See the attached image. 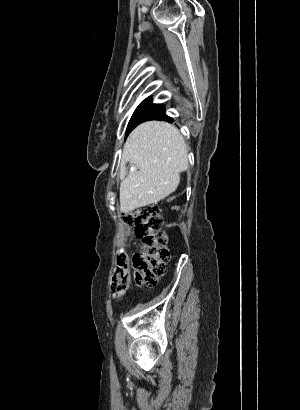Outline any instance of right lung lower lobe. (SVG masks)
I'll list each match as a JSON object with an SVG mask.
<instances>
[{
  "label": "right lung lower lobe",
  "mask_w": 300,
  "mask_h": 410,
  "mask_svg": "<svg viewBox=\"0 0 300 410\" xmlns=\"http://www.w3.org/2000/svg\"><path fill=\"white\" fill-rule=\"evenodd\" d=\"M152 119H156V120H166V121L172 122V118L166 116L164 111L161 112V113H159V114L153 115V116L147 118V119L144 120V121L152 120Z\"/></svg>",
  "instance_id": "98d812e1"
}]
</instances>
